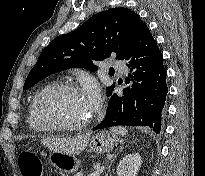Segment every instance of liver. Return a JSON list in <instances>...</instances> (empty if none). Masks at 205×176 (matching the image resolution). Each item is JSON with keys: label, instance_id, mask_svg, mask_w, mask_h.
Segmentation results:
<instances>
[{"label": "liver", "instance_id": "liver-1", "mask_svg": "<svg viewBox=\"0 0 205 176\" xmlns=\"http://www.w3.org/2000/svg\"><path fill=\"white\" fill-rule=\"evenodd\" d=\"M90 140V134H82L72 138H51L42 139V143L53 151L75 155L81 153L87 146Z\"/></svg>", "mask_w": 205, "mask_h": 176}]
</instances>
